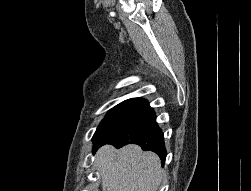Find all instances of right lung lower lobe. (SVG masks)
Listing matches in <instances>:
<instances>
[{"instance_id": "1", "label": "right lung lower lobe", "mask_w": 251, "mask_h": 191, "mask_svg": "<svg viewBox=\"0 0 251 191\" xmlns=\"http://www.w3.org/2000/svg\"><path fill=\"white\" fill-rule=\"evenodd\" d=\"M155 119L156 117L153 109L149 107L127 127L104 144H112L116 148H121L127 144H137L144 151L155 152L160 157L163 166L167 152L165 149L163 133L158 127Z\"/></svg>"}]
</instances>
